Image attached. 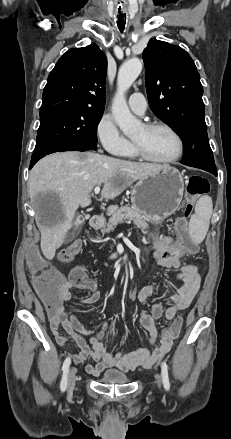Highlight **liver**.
<instances>
[{"mask_svg": "<svg viewBox=\"0 0 231 439\" xmlns=\"http://www.w3.org/2000/svg\"><path fill=\"white\" fill-rule=\"evenodd\" d=\"M166 167L153 163H135L94 152H60L41 159L31 170L28 188L33 201L38 195L52 194L58 206L52 215L36 214L41 232V251L52 260L71 229L79 206L91 203L94 187L103 185L102 198L114 200L133 182Z\"/></svg>", "mask_w": 231, "mask_h": 439, "instance_id": "obj_1", "label": "liver"}]
</instances>
